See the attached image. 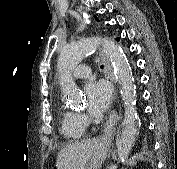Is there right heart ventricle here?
Wrapping results in <instances>:
<instances>
[{
  "label": "right heart ventricle",
  "instance_id": "obj_1",
  "mask_svg": "<svg viewBox=\"0 0 177 169\" xmlns=\"http://www.w3.org/2000/svg\"><path fill=\"white\" fill-rule=\"evenodd\" d=\"M60 130L70 140H77L84 136L85 127L79 119V115L68 109L60 111Z\"/></svg>",
  "mask_w": 177,
  "mask_h": 169
}]
</instances>
